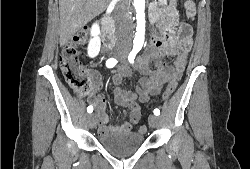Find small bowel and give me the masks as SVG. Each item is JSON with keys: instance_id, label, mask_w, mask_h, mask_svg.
Instances as JSON below:
<instances>
[{"instance_id": "small-bowel-1", "label": "small bowel", "mask_w": 250, "mask_h": 169, "mask_svg": "<svg viewBox=\"0 0 250 169\" xmlns=\"http://www.w3.org/2000/svg\"><path fill=\"white\" fill-rule=\"evenodd\" d=\"M187 14L193 17L195 11L193 13L187 12ZM156 18L159 29H163L167 25V21H161L163 19L170 21L178 20L177 14L171 10L157 14ZM190 37L191 30L189 29L180 39L165 44L160 33L156 32L150 49L138 58L136 62V69L142 75L136 88L137 95L120 87L124 78L133 76L132 69L129 66L121 68L112 75L111 81L116 86L114 91L115 103L129 111V120L119 126L107 125L106 97L101 93L103 85L101 75L93 69L87 71L94 86L90 102L94 106L96 116L99 119V133L101 135H106L110 132H131L141 117L139 103L148 102L151 96L159 94L163 89H175L164 88V83H178L181 79L187 63L188 53L191 49ZM168 56L175 57L173 63L166 61ZM99 61L100 59H94L92 62L97 64ZM170 77H175V82H170Z\"/></svg>"}]
</instances>
